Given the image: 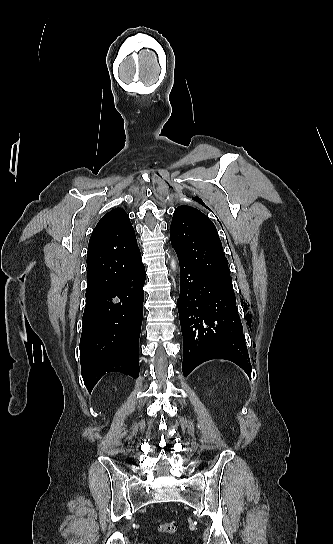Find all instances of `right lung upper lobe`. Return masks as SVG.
<instances>
[{
  "mask_svg": "<svg viewBox=\"0 0 333 544\" xmlns=\"http://www.w3.org/2000/svg\"><path fill=\"white\" fill-rule=\"evenodd\" d=\"M141 263L128 214L122 208L111 210L100 219L89 241L86 297L111 288Z\"/></svg>",
  "mask_w": 333,
  "mask_h": 544,
  "instance_id": "cb5924a9",
  "label": "right lung upper lobe"
}]
</instances>
